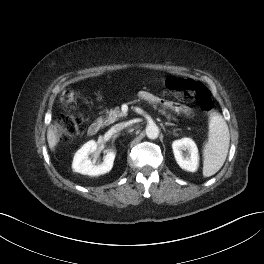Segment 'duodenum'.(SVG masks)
I'll return each mask as SVG.
<instances>
[{
	"mask_svg": "<svg viewBox=\"0 0 264 264\" xmlns=\"http://www.w3.org/2000/svg\"><path fill=\"white\" fill-rule=\"evenodd\" d=\"M101 127V121H94L93 123L90 124V126L88 127V134L90 136H94L98 133L99 129Z\"/></svg>",
	"mask_w": 264,
	"mask_h": 264,
	"instance_id": "1",
	"label": "duodenum"
}]
</instances>
